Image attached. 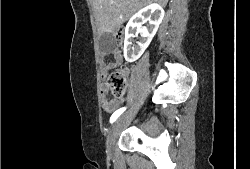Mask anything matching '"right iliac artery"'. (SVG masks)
Here are the masks:
<instances>
[{
  "label": "right iliac artery",
  "mask_w": 250,
  "mask_h": 169,
  "mask_svg": "<svg viewBox=\"0 0 250 169\" xmlns=\"http://www.w3.org/2000/svg\"><path fill=\"white\" fill-rule=\"evenodd\" d=\"M126 110V108H120L117 111H115L112 116L110 117V123H113L116 121V119Z\"/></svg>",
  "instance_id": "82829eb1"
}]
</instances>
